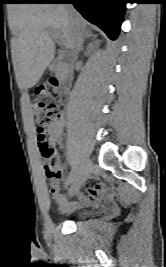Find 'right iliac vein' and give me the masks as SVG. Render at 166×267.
Masks as SVG:
<instances>
[{
  "instance_id": "right-iliac-vein-1",
  "label": "right iliac vein",
  "mask_w": 166,
  "mask_h": 267,
  "mask_svg": "<svg viewBox=\"0 0 166 267\" xmlns=\"http://www.w3.org/2000/svg\"><path fill=\"white\" fill-rule=\"evenodd\" d=\"M92 171V162L89 158L85 157L81 166L80 171L78 172L72 186L70 189V196L75 195L81 186L88 179Z\"/></svg>"
}]
</instances>
